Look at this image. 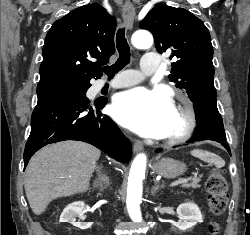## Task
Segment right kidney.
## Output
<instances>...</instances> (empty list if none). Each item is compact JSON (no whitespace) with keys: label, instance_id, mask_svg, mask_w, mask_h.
Listing matches in <instances>:
<instances>
[{"label":"right kidney","instance_id":"obj_1","mask_svg":"<svg viewBox=\"0 0 250 235\" xmlns=\"http://www.w3.org/2000/svg\"><path fill=\"white\" fill-rule=\"evenodd\" d=\"M85 203L82 201H77L69 204L60 215V222H68L79 229L85 230L91 227L92 223H83L76 220L84 219L85 216L83 214Z\"/></svg>","mask_w":250,"mask_h":235}]
</instances>
